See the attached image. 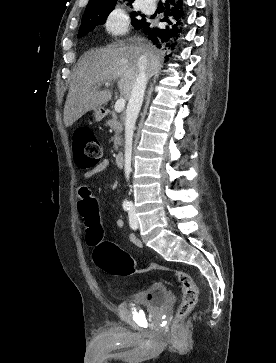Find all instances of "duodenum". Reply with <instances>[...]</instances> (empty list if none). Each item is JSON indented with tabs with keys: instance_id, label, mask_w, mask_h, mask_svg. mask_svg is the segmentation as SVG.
I'll return each mask as SVG.
<instances>
[{
	"instance_id": "410a0bca",
	"label": "duodenum",
	"mask_w": 276,
	"mask_h": 363,
	"mask_svg": "<svg viewBox=\"0 0 276 363\" xmlns=\"http://www.w3.org/2000/svg\"><path fill=\"white\" fill-rule=\"evenodd\" d=\"M115 161L117 166H122L124 163V153L122 151H119L116 153Z\"/></svg>"
}]
</instances>
